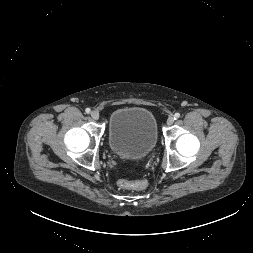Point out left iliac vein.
I'll list each match as a JSON object with an SVG mask.
<instances>
[{
  "label": "left iliac vein",
  "instance_id": "1",
  "mask_svg": "<svg viewBox=\"0 0 253 253\" xmlns=\"http://www.w3.org/2000/svg\"><path fill=\"white\" fill-rule=\"evenodd\" d=\"M174 123V117L173 116H170V117H168V119H167V125H172Z\"/></svg>",
  "mask_w": 253,
  "mask_h": 253
}]
</instances>
